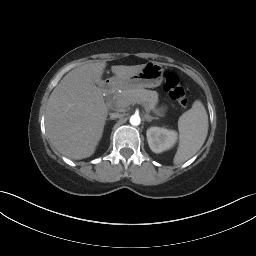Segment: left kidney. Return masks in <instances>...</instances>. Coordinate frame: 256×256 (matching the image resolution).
I'll use <instances>...</instances> for the list:
<instances>
[{"instance_id":"left-kidney-1","label":"left kidney","mask_w":256,"mask_h":256,"mask_svg":"<svg viewBox=\"0 0 256 256\" xmlns=\"http://www.w3.org/2000/svg\"><path fill=\"white\" fill-rule=\"evenodd\" d=\"M146 135L149 147L155 153H161L172 148L177 141L176 131L163 127H150Z\"/></svg>"}]
</instances>
